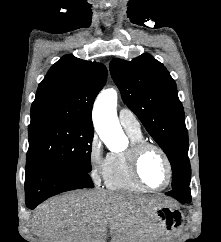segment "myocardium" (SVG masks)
Here are the masks:
<instances>
[{"label": "myocardium", "instance_id": "f54148a6", "mask_svg": "<svg viewBox=\"0 0 221 242\" xmlns=\"http://www.w3.org/2000/svg\"><path fill=\"white\" fill-rule=\"evenodd\" d=\"M150 149H154L161 154L167 167V180L165 184L159 188H154L149 186L144 181L140 172V164H141L142 158L145 155V153ZM129 165H130L131 174L134 180L146 190L154 191V192L163 191L170 185L172 181L173 166H172L171 160L168 154L166 153V151L156 143L143 140L132 144L129 148Z\"/></svg>", "mask_w": 221, "mask_h": 242}]
</instances>
